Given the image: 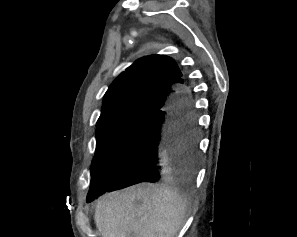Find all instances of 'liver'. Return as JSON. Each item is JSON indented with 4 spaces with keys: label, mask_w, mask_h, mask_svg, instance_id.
<instances>
[{
    "label": "liver",
    "mask_w": 297,
    "mask_h": 237,
    "mask_svg": "<svg viewBox=\"0 0 297 237\" xmlns=\"http://www.w3.org/2000/svg\"><path fill=\"white\" fill-rule=\"evenodd\" d=\"M188 205L170 186L136 185L102 196L95 223L102 237H175Z\"/></svg>",
    "instance_id": "1"
}]
</instances>
